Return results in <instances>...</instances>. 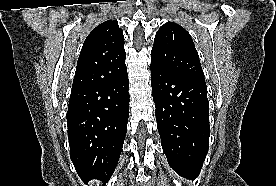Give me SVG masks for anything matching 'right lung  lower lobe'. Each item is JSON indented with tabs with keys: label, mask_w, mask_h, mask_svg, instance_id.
<instances>
[{
	"label": "right lung lower lobe",
	"mask_w": 276,
	"mask_h": 186,
	"mask_svg": "<svg viewBox=\"0 0 276 186\" xmlns=\"http://www.w3.org/2000/svg\"><path fill=\"white\" fill-rule=\"evenodd\" d=\"M128 75L101 85L72 90L67 124L70 158L84 182H107L117 166L127 132Z\"/></svg>",
	"instance_id": "obj_1"
}]
</instances>
